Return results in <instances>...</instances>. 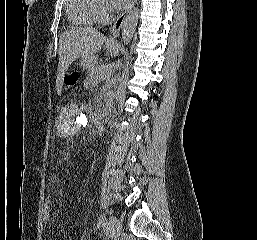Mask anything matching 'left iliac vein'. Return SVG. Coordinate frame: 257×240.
<instances>
[{"label": "left iliac vein", "mask_w": 257, "mask_h": 240, "mask_svg": "<svg viewBox=\"0 0 257 240\" xmlns=\"http://www.w3.org/2000/svg\"><path fill=\"white\" fill-rule=\"evenodd\" d=\"M108 226L110 235L113 238H116L120 235L122 231V223L117 217L111 215L108 220Z\"/></svg>", "instance_id": "4c4485c4"}]
</instances>
